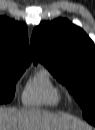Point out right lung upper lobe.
I'll use <instances>...</instances> for the list:
<instances>
[{
    "mask_svg": "<svg viewBox=\"0 0 95 130\" xmlns=\"http://www.w3.org/2000/svg\"><path fill=\"white\" fill-rule=\"evenodd\" d=\"M31 62L27 29L7 17L0 18V68H26Z\"/></svg>",
    "mask_w": 95,
    "mask_h": 130,
    "instance_id": "cb5924a9",
    "label": "right lung upper lobe"
}]
</instances>
